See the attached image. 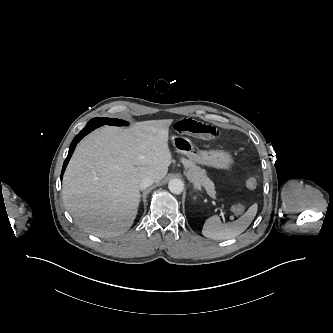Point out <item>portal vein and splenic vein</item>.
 Segmentation results:
<instances>
[{"mask_svg":"<svg viewBox=\"0 0 333 333\" xmlns=\"http://www.w3.org/2000/svg\"><path fill=\"white\" fill-rule=\"evenodd\" d=\"M213 198H215V196H213ZM221 216H224L225 215V212H223V206L221 207V213H220Z\"/></svg>","mask_w":333,"mask_h":333,"instance_id":"obj_1","label":"portal vein and splenic vein"}]
</instances>
